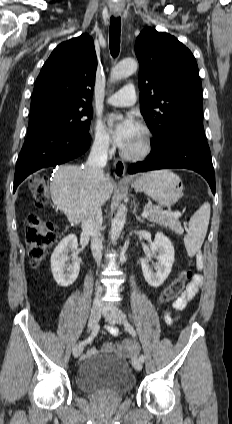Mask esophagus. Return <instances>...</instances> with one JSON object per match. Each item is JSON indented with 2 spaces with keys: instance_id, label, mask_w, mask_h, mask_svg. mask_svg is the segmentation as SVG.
<instances>
[{
  "instance_id": "obj_1",
  "label": "esophagus",
  "mask_w": 232,
  "mask_h": 424,
  "mask_svg": "<svg viewBox=\"0 0 232 424\" xmlns=\"http://www.w3.org/2000/svg\"><path fill=\"white\" fill-rule=\"evenodd\" d=\"M113 14L115 17H118L120 15L119 12H114ZM114 174L116 178L128 179V177L126 176V166L124 162L120 159H117L114 162Z\"/></svg>"
}]
</instances>
